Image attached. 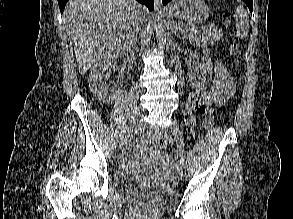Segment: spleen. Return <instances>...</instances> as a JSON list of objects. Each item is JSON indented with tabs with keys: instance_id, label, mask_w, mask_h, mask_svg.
<instances>
[{
	"instance_id": "obj_1",
	"label": "spleen",
	"mask_w": 293,
	"mask_h": 219,
	"mask_svg": "<svg viewBox=\"0 0 293 219\" xmlns=\"http://www.w3.org/2000/svg\"><path fill=\"white\" fill-rule=\"evenodd\" d=\"M234 18L236 20L237 37L244 39L249 32V17L243 6H238Z\"/></svg>"
}]
</instances>
